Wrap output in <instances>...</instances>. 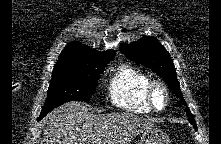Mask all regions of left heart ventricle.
<instances>
[{
  "label": "left heart ventricle",
  "mask_w": 221,
  "mask_h": 144,
  "mask_svg": "<svg viewBox=\"0 0 221 144\" xmlns=\"http://www.w3.org/2000/svg\"><path fill=\"white\" fill-rule=\"evenodd\" d=\"M154 99H155V103L158 107L163 106V104H164V95H163L161 90L157 89L155 91Z\"/></svg>",
  "instance_id": "b2bd125f"
}]
</instances>
